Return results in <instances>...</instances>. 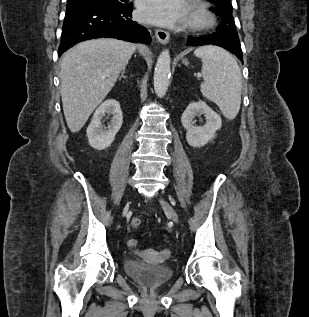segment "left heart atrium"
<instances>
[{
  "instance_id": "39dd6f15",
  "label": "left heart atrium",
  "mask_w": 309,
  "mask_h": 317,
  "mask_svg": "<svg viewBox=\"0 0 309 317\" xmlns=\"http://www.w3.org/2000/svg\"><path fill=\"white\" fill-rule=\"evenodd\" d=\"M189 13L186 0H141L137 9L141 21L165 27L184 24Z\"/></svg>"
}]
</instances>
